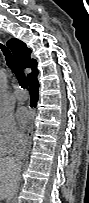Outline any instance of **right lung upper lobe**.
Masks as SVG:
<instances>
[{"mask_svg": "<svg viewBox=\"0 0 89 203\" xmlns=\"http://www.w3.org/2000/svg\"><path fill=\"white\" fill-rule=\"evenodd\" d=\"M7 46L11 49L13 55L15 56L19 66L23 69L31 68L32 73L27 77L28 80L33 78L38 74L37 62L34 59H31V50L27 48L26 44L18 39H10L7 42Z\"/></svg>", "mask_w": 89, "mask_h": 203, "instance_id": "right-lung-upper-lobe-1", "label": "right lung upper lobe"}]
</instances>
